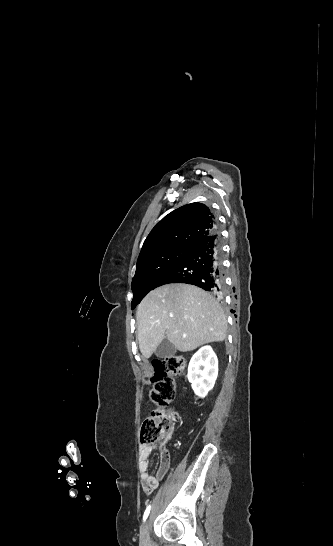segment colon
<instances>
[{
    "instance_id": "5ec220e1",
    "label": "colon",
    "mask_w": 333,
    "mask_h": 546,
    "mask_svg": "<svg viewBox=\"0 0 333 546\" xmlns=\"http://www.w3.org/2000/svg\"><path fill=\"white\" fill-rule=\"evenodd\" d=\"M185 367V359L177 355L154 361L150 393L154 407L141 430V440L145 444L156 443L170 436L176 419V414L170 410L175 396L174 377L182 374Z\"/></svg>"
}]
</instances>
